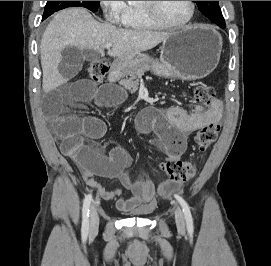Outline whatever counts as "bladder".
Segmentation results:
<instances>
[{
  "instance_id": "31cf9c89",
  "label": "bladder",
  "mask_w": 271,
  "mask_h": 266,
  "mask_svg": "<svg viewBox=\"0 0 271 266\" xmlns=\"http://www.w3.org/2000/svg\"><path fill=\"white\" fill-rule=\"evenodd\" d=\"M146 215H148L146 209H138L130 214L131 217H145Z\"/></svg>"
}]
</instances>
